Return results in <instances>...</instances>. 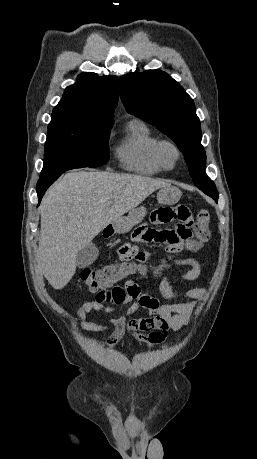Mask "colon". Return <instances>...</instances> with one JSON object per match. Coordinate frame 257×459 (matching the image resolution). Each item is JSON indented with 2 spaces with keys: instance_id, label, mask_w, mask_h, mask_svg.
I'll return each instance as SVG.
<instances>
[{
  "instance_id": "colon-1",
  "label": "colon",
  "mask_w": 257,
  "mask_h": 459,
  "mask_svg": "<svg viewBox=\"0 0 257 459\" xmlns=\"http://www.w3.org/2000/svg\"><path fill=\"white\" fill-rule=\"evenodd\" d=\"M192 222L193 227L197 228V235L194 236L193 241L186 242L184 251H179V254L198 250L210 238V214L207 210H200ZM154 272L155 269L145 264L115 263L99 269L84 268L81 279L89 290L98 291L97 300L104 301L106 298L100 291L107 289L113 283L131 277L152 276Z\"/></svg>"
}]
</instances>
